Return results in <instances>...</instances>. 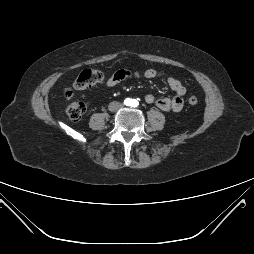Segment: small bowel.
<instances>
[{"mask_svg":"<svg viewBox=\"0 0 254 254\" xmlns=\"http://www.w3.org/2000/svg\"><path fill=\"white\" fill-rule=\"evenodd\" d=\"M158 76L155 69H146L143 71L120 69L117 70L106 82V86L111 88L120 82L129 78H146L153 79ZM167 83L171 90L175 93L173 97L156 98L153 94H147L145 101L148 104H153L162 111H181L184 106L183 96L186 93V87L180 79L168 77Z\"/></svg>","mask_w":254,"mask_h":254,"instance_id":"c3829d8e","label":"small bowel"}]
</instances>
